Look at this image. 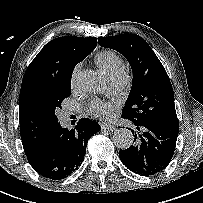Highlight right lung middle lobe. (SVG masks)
Returning <instances> with one entry per match:
<instances>
[{"mask_svg":"<svg viewBox=\"0 0 203 203\" xmlns=\"http://www.w3.org/2000/svg\"><path fill=\"white\" fill-rule=\"evenodd\" d=\"M71 94V82L60 84L49 89L42 97L43 107L47 116L55 123L58 122L56 112L61 108L62 101Z\"/></svg>","mask_w":203,"mask_h":203,"instance_id":"1","label":"right lung middle lobe"}]
</instances>
